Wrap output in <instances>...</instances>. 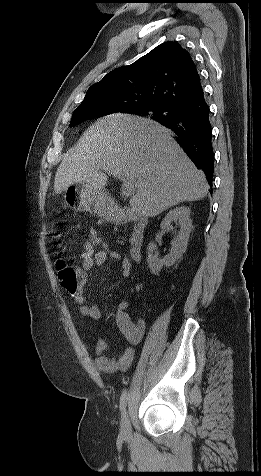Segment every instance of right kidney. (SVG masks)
I'll list each match as a JSON object with an SVG mask.
<instances>
[{"instance_id":"obj_1","label":"right kidney","mask_w":261,"mask_h":476,"mask_svg":"<svg viewBox=\"0 0 261 476\" xmlns=\"http://www.w3.org/2000/svg\"><path fill=\"white\" fill-rule=\"evenodd\" d=\"M190 208L181 206L176 207L173 210L169 211L165 218L162 220L160 227L162 232H168L173 230L171 223L173 221H178L180 226V231L178 235L171 242V251L163 259L158 258L154 255V252L157 250L155 243H149L147 247L148 256L147 263L150 271L158 275L163 266L170 267L176 263L179 259L182 258L185 253L188 245V239L192 229V221L190 219Z\"/></svg>"}]
</instances>
